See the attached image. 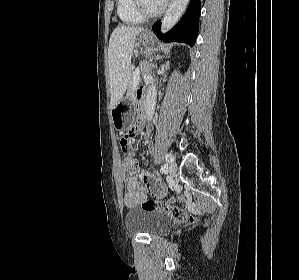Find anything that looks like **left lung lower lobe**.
I'll list each match as a JSON object with an SVG mask.
<instances>
[{"label": "left lung lower lobe", "mask_w": 299, "mask_h": 280, "mask_svg": "<svg viewBox=\"0 0 299 280\" xmlns=\"http://www.w3.org/2000/svg\"><path fill=\"white\" fill-rule=\"evenodd\" d=\"M200 0H191L187 11L180 22L164 36H161V22L152 26L154 33L164 41L184 42L193 46L199 30Z\"/></svg>", "instance_id": "0a47b994"}]
</instances>
